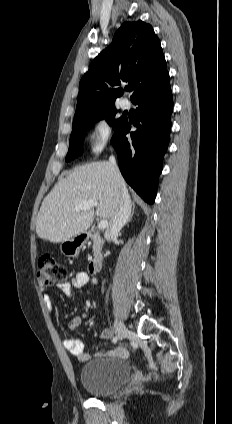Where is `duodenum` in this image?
I'll return each mask as SVG.
<instances>
[{
    "mask_svg": "<svg viewBox=\"0 0 232 424\" xmlns=\"http://www.w3.org/2000/svg\"><path fill=\"white\" fill-rule=\"evenodd\" d=\"M90 237V233H85L83 235V238L85 240H88ZM103 257V252L97 247L88 265V270L90 274H97L101 270Z\"/></svg>",
    "mask_w": 232,
    "mask_h": 424,
    "instance_id": "1",
    "label": "duodenum"
}]
</instances>
